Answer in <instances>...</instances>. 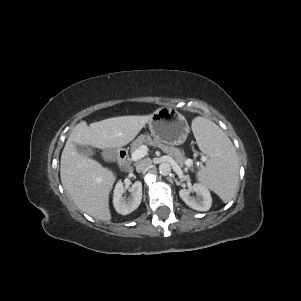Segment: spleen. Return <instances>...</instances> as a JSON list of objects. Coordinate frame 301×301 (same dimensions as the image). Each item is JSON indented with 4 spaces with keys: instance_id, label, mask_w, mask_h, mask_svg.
Listing matches in <instances>:
<instances>
[{
    "instance_id": "spleen-1",
    "label": "spleen",
    "mask_w": 301,
    "mask_h": 301,
    "mask_svg": "<svg viewBox=\"0 0 301 301\" xmlns=\"http://www.w3.org/2000/svg\"><path fill=\"white\" fill-rule=\"evenodd\" d=\"M192 130L200 149L209 157L206 166L197 173L198 180L223 202L230 201L239 177V162L231 140L214 122L204 117L192 121Z\"/></svg>"
}]
</instances>
